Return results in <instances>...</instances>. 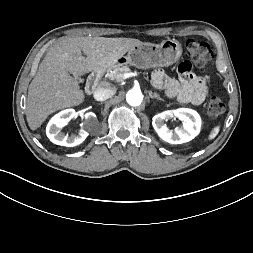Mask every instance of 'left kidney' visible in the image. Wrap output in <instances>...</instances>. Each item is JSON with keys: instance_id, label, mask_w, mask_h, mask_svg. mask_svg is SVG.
Here are the masks:
<instances>
[{"instance_id": "1", "label": "left kidney", "mask_w": 253, "mask_h": 253, "mask_svg": "<svg viewBox=\"0 0 253 253\" xmlns=\"http://www.w3.org/2000/svg\"><path fill=\"white\" fill-rule=\"evenodd\" d=\"M174 117L179 118L183 125L173 132L167 128L164 120L167 121ZM152 125L162 140L171 144H181L191 141L198 135L201 119L196 111L188 108H179L155 115L152 119Z\"/></svg>"}]
</instances>
